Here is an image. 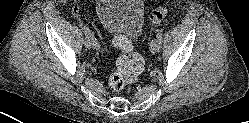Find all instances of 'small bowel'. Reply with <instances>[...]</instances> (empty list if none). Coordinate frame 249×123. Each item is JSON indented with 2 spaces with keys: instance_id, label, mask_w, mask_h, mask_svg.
<instances>
[{
  "instance_id": "1",
  "label": "small bowel",
  "mask_w": 249,
  "mask_h": 123,
  "mask_svg": "<svg viewBox=\"0 0 249 123\" xmlns=\"http://www.w3.org/2000/svg\"><path fill=\"white\" fill-rule=\"evenodd\" d=\"M73 15H74V17H80V15H81L80 6H79L78 1H76L75 4H74Z\"/></svg>"
}]
</instances>
